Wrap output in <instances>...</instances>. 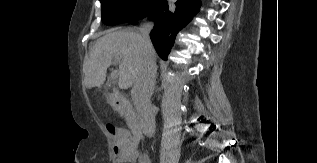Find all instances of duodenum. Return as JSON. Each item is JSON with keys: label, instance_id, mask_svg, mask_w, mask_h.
Masks as SVG:
<instances>
[{"label": "duodenum", "instance_id": "duodenum-1", "mask_svg": "<svg viewBox=\"0 0 317 163\" xmlns=\"http://www.w3.org/2000/svg\"><path fill=\"white\" fill-rule=\"evenodd\" d=\"M110 100L116 110L128 122L133 136L132 140L136 146L138 139L142 136V128L131 104L125 96L116 92L110 94ZM117 145H121L120 141L117 142Z\"/></svg>", "mask_w": 317, "mask_h": 163}]
</instances>
